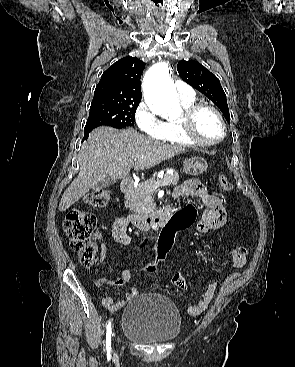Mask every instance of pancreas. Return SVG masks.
<instances>
[{
	"label": "pancreas",
	"mask_w": 295,
	"mask_h": 367,
	"mask_svg": "<svg viewBox=\"0 0 295 367\" xmlns=\"http://www.w3.org/2000/svg\"><path fill=\"white\" fill-rule=\"evenodd\" d=\"M164 178L169 180L168 185H177L179 176L177 173L165 174ZM155 178H151L140 183L136 188L132 189L125 195V206L129 207L134 213L143 215L154 209L153 192L148 188L155 183Z\"/></svg>",
	"instance_id": "pancreas-1"
}]
</instances>
